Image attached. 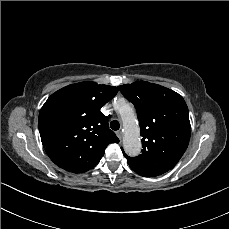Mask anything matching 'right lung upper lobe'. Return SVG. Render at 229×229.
Here are the masks:
<instances>
[{"label":"right lung upper lobe","mask_w":229,"mask_h":229,"mask_svg":"<svg viewBox=\"0 0 229 229\" xmlns=\"http://www.w3.org/2000/svg\"><path fill=\"white\" fill-rule=\"evenodd\" d=\"M117 92L114 86L81 82L47 99L38 127L45 151L57 166L83 173L98 164L108 144L119 142L100 111Z\"/></svg>","instance_id":"1"}]
</instances>
